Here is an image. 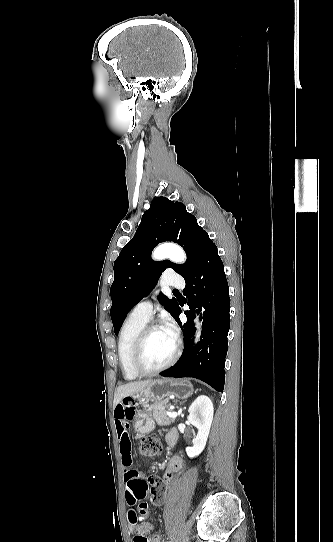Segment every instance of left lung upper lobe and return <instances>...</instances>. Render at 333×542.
I'll return each mask as SVG.
<instances>
[{
	"label": "left lung upper lobe",
	"mask_w": 333,
	"mask_h": 542,
	"mask_svg": "<svg viewBox=\"0 0 333 542\" xmlns=\"http://www.w3.org/2000/svg\"><path fill=\"white\" fill-rule=\"evenodd\" d=\"M208 240L210 238L206 231L187 212L183 203L173 202L166 197H157L151 202L134 237L114 262V281L110 294L111 319L116 335L127 313L149 294L166 268L174 269L183 278L195 269ZM165 241H173L183 247L187 254L185 264L151 260L154 247ZM159 300L175 318L178 301L162 294Z\"/></svg>",
	"instance_id": "obj_1"
}]
</instances>
